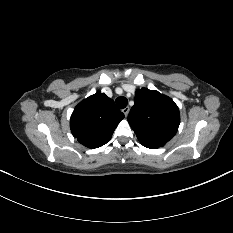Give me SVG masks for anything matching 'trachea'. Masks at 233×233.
I'll return each mask as SVG.
<instances>
[{
	"label": "trachea",
	"mask_w": 233,
	"mask_h": 233,
	"mask_svg": "<svg viewBox=\"0 0 233 233\" xmlns=\"http://www.w3.org/2000/svg\"><path fill=\"white\" fill-rule=\"evenodd\" d=\"M128 100L124 96H120L116 99V105L120 109H124L127 106Z\"/></svg>",
	"instance_id": "trachea-1"
}]
</instances>
